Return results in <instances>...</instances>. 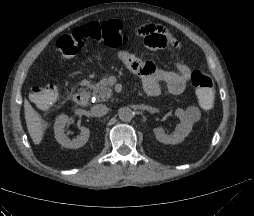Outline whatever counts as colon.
I'll return each mask as SVG.
<instances>
[{"label": "colon", "mask_w": 254, "mask_h": 216, "mask_svg": "<svg viewBox=\"0 0 254 216\" xmlns=\"http://www.w3.org/2000/svg\"><path fill=\"white\" fill-rule=\"evenodd\" d=\"M124 29L123 24L115 20L92 22L61 36L55 44V49L62 57L69 58L90 42L117 48L125 44L128 39ZM190 79L201 107L210 110L215 99L211 77L204 71L196 69L191 73ZM57 97L58 91L54 85L35 88L31 94L32 100L41 108L51 107Z\"/></svg>", "instance_id": "obj_1"}]
</instances>
